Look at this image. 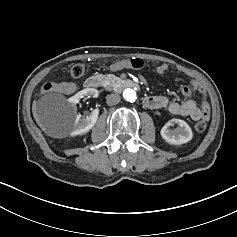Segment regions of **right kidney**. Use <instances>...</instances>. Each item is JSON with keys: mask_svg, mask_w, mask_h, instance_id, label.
Returning <instances> with one entry per match:
<instances>
[{"mask_svg": "<svg viewBox=\"0 0 237 237\" xmlns=\"http://www.w3.org/2000/svg\"><path fill=\"white\" fill-rule=\"evenodd\" d=\"M98 90L95 88H85L78 93H76L74 96L69 98V102L73 105H76L79 103L80 99H82L85 96H92V97H98ZM99 115V110L94 109L90 113H88L86 116H81L80 114L76 115L75 123H74V130L71 132L72 136L80 135L87 133L96 123Z\"/></svg>", "mask_w": 237, "mask_h": 237, "instance_id": "obj_1", "label": "right kidney"}]
</instances>
